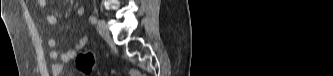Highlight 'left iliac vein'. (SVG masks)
<instances>
[{
	"instance_id": "1",
	"label": "left iliac vein",
	"mask_w": 333,
	"mask_h": 76,
	"mask_svg": "<svg viewBox=\"0 0 333 76\" xmlns=\"http://www.w3.org/2000/svg\"><path fill=\"white\" fill-rule=\"evenodd\" d=\"M97 29L99 34L104 38L108 39L110 37L109 29L107 23L100 19L97 24Z\"/></svg>"
}]
</instances>
